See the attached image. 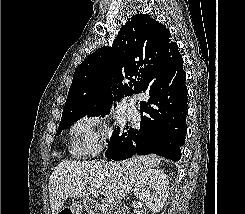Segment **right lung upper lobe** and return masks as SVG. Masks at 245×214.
<instances>
[{
	"label": "right lung upper lobe",
	"instance_id": "right-lung-upper-lobe-1",
	"mask_svg": "<svg viewBox=\"0 0 245 214\" xmlns=\"http://www.w3.org/2000/svg\"><path fill=\"white\" fill-rule=\"evenodd\" d=\"M160 69L174 80L186 77L169 30L148 14H136L111 48L97 49L76 68L63 114L110 110L112 101L146 92L149 78Z\"/></svg>",
	"mask_w": 245,
	"mask_h": 214
}]
</instances>
